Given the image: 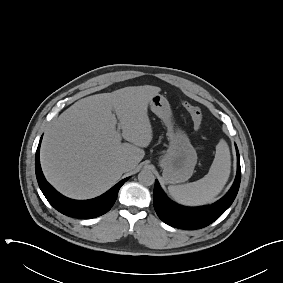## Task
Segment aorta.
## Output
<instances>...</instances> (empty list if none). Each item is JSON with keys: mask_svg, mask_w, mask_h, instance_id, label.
Segmentation results:
<instances>
[{"mask_svg": "<svg viewBox=\"0 0 283 283\" xmlns=\"http://www.w3.org/2000/svg\"><path fill=\"white\" fill-rule=\"evenodd\" d=\"M139 182L144 186H151L155 182V176L150 170H142L138 174Z\"/></svg>", "mask_w": 283, "mask_h": 283, "instance_id": "aorta-1", "label": "aorta"}]
</instances>
